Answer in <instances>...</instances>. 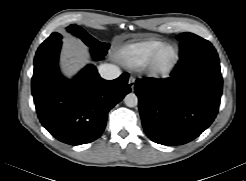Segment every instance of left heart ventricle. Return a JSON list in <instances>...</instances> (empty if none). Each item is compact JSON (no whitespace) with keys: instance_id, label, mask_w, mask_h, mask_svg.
<instances>
[{"instance_id":"left-heart-ventricle-1","label":"left heart ventricle","mask_w":246,"mask_h":181,"mask_svg":"<svg viewBox=\"0 0 246 181\" xmlns=\"http://www.w3.org/2000/svg\"><path fill=\"white\" fill-rule=\"evenodd\" d=\"M175 51L173 48L168 49L162 56L161 62L163 64L169 63L174 57Z\"/></svg>"}]
</instances>
